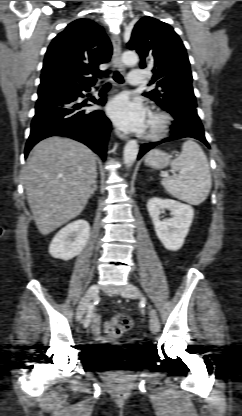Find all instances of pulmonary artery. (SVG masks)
<instances>
[{
    "label": "pulmonary artery",
    "instance_id": "pulmonary-artery-1",
    "mask_svg": "<svg viewBox=\"0 0 242 416\" xmlns=\"http://www.w3.org/2000/svg\"><path fill=\"white\" fill-rule=\"evenodd\" d=\"M144 70L142 69H133L130 71L128 76V83L130 85H139L143 81Z\"/></svg>",
    "mask_w": 242,
    "mask_h": 416
}]
</instances>
